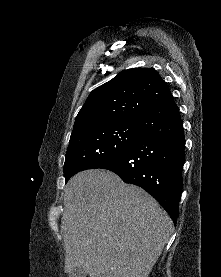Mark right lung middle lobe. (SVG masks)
<instances>
[{
  "label": "right lung middle lobe",
  "mask_w": 221,
  "mask_h": 277,
  "mask_svg": "<svg viewBox=\"0 0 221 277\" xmlns=\"http://www.w3.org/2000/svg\"><path fill=\"white\" fill-rule=\"evenodd\" d=\"M138 132L137 121L96 126L72 135L66 152L64 176L100 168L123 156Z\"/></svg>",
  "instance_id": "1"
}]
</instances>
